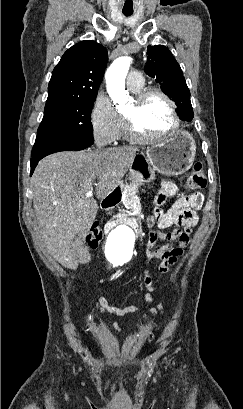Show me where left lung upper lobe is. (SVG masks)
I'll list each match as a JSON object with an SVG mask.
<instances>
[{
    "mask_svg": "<svg viewBox=\"0 0 243 409\" xmlns=\"http://www.w3.org/2000/svg\"><path fill=\"white\" fill-rule=\"evenodd\" d=\"M144 71L155 78L162 86L163 92L174 100L180 118L191 121L194 113L190 101V91L183 77V72L169 49L163 45L148 46Z\"/></svg>",
    "mask_w": 243,
    "mask_h": 409,
    "instance_id": "1",
    "label": "left lung upper lobe"
}]
</instances>
